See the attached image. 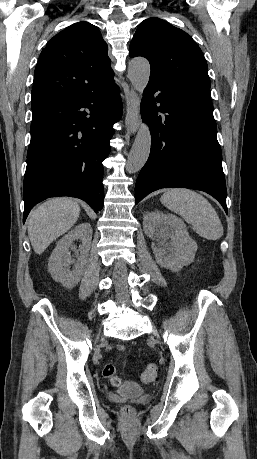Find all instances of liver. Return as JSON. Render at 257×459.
<instances>
[{"label":"liver","mask_w":257,"mask_h":459,"mask_svg":"<svg viewBox=\"0 0 257 459\" xmlns=\"http://www.w3.org/2000/svg\"><path fill=\"white\" fill-rule=\"evenodd\" d=\"M79 205L69 198H53L34 209L28 218V235L36 254H42L76 223Z\"/></svg>","instance_id":"6515ba94"}]
</instances>
